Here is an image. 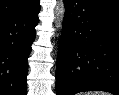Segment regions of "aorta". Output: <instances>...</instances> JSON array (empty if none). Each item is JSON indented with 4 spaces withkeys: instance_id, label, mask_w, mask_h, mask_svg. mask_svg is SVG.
I'll return each mask as SVG.
<instances>
[{
    "instance_id": "aorta-1",
    "label": "aorta",
    "mask_w": 119,
    "mask_h": 95,
    "mask_svg": "<svg viewBox=\"0 0 119 95\" xmlns=\"http://www.w3.org/2000/svg\"><path fill=\"white\" fill-rule=\"evenodd\" d=\"M65 16V5L64 2L58 1L55 7V27L59 30L62 28L63 19Z\"/></svg>"
}]
</instances>
